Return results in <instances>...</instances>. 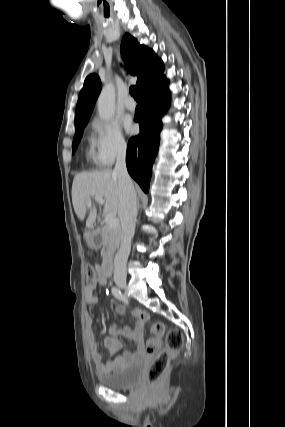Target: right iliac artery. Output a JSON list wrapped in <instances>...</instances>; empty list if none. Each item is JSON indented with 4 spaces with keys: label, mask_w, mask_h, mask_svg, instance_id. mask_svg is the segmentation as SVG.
I'll use <instances>...</instances> for the list:
<instances>
[{
    "label": "right iliac artery",
    "mask_w": 285,
    "mask_h": 427,
    "mask_svg": "<svg viewBox=\"0 0 285 427\" xmlns=\"http://www.w3.org/2000/svg\"><path fill=\"white\" fill-rule=\"evenodd\" d=\"M112 294L119 300L122 299L121 291L117 287L112 288Z\"/></svg>",
    "instance_id": "right-iliac-artery-1"
}]
</instances>
